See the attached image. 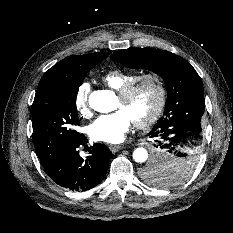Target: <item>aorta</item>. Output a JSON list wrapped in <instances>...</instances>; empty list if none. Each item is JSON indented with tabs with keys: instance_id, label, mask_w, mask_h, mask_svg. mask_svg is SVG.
Wrapping results in <instances>:
<instances>
[{
	"instance_id": "aorta-1",
	"label": "aorta",
	"mask_w": 233,
	"mask_h": 233,
	"mask_svg": "<svg viewBox=\"0 0 233 233\" xmlns=\"http://www.w3.org/2000/svg\"><path fill=\"white\" fill-rule=\"evenodd\" d=\"M115 95L108 90H97L90 94L89 105L92 109L100 113H108L115 109ZM133 159L138 163H143L148 159V152L145 148H136L133 152Z\"/></svg>"
}]
</instances>
